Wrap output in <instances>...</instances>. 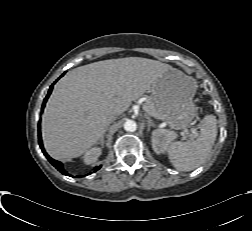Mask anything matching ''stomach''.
I'll return each instance as SVG.
<instances>
[{
	"mask_svg": "<svg viewBox=\"0 0 252 231\" xmlns=\"http://www.w3.org/2000/svg\"><path fill=\"white\" fill-rule=\"evenodd\" d=\"M197 90L195 79L179 70L164 71L151 88L158 118L172 129L187 128L196 115L193 98Z\"/></svg>",
	"mask_w": 252,
	"mask_h": 231,
	"instance_id": "obj_1",
	"label": "stomach"
}]
</instances>
